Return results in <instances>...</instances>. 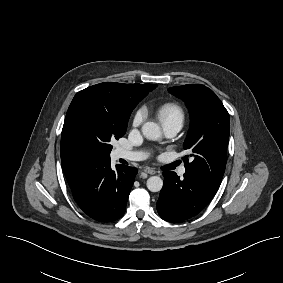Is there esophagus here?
<instances>
[{
    "label": "esophagus",
    "mask_w": 283,
    "mask_h": 283,
    "mask_svg": "<svg viewBox=\"0 0 283 283\" xmlns=\"http://www.w3.org/2000/svg\"><path fill=\"white\" fill-rule=\"evenodd\" d=\"M144 172H146V173H148V174H150V175H154V174H156V170L155 169H153V168H150V167H146V168H144V170H143Z\"/></svg>",
    "instance_id": "1"
}]
</instances>
